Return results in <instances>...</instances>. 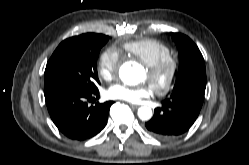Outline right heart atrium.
<instances>
[{"instance_id":"obj_1","label":"right heart atrium","mask_w":249,"mask_h":165,"mask_svg":"<svg viewBox=\"0 0 249 165\" xmlns=\"http://www.w3.org/2000/svg\"><path fill=\"white\" fill-rule=\"evenodd\" d=\"M121 57L117 49L107 48L98 61V74L105 81H111L118 73Z\"/></svg>"}]
</instances>
